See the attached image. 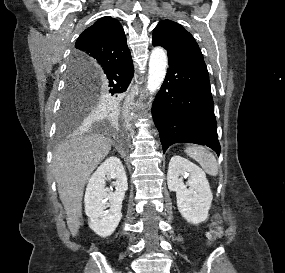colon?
<instances>
[{"instance_id":"5ec220e1","label":"colon","mask_w":285,"mask_h":273,"mask_svg":"<svg viewBox=\"0 0 285 273\" xmlns=\"http://www.w3.org/2000/svg\"><path fill=\"white\" fill-rule=\"evenodd\" d=\"M223 234V220L220 216H216L214 223L210 230V242H214L216 239L220 238Z\"/></svg>"}]
</instances>
